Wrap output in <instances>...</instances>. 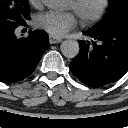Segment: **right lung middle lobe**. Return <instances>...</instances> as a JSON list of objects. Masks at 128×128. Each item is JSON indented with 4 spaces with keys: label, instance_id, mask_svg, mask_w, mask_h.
<instances>
[{
    "label": "right lung middle lobe",
    "instance_id": "dd1d6c3e",
    "mask_svg": "<svg viewBox=\"0 0 128 128\" xmlns=\"http://www.w3.org/2000/svg\"><path fill=\"white\" fill-rule=\"evenodd\" d=\"M29 19L28 0H0V26L18 27Z\"/></svg>",
    "mask_w": 128,
    "mask_h": 128
}]
</instances>
